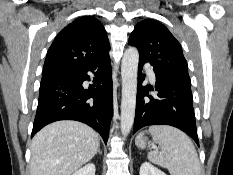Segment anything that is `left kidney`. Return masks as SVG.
Wrapping results in <instances>:
<instances>
[{
	"label": "left kidney",
	"instance_id": "left-kidney-1",
	"mask_svg": "<svg viewBox=\"0 0 233 175\" xmlns=\"http://www.w3.org/2000/svg\"><path fill=\"white\" fill-rule=\"evenodd\" d=\"M140 175H166L149 162H144L140 167Z\"/></svg>",
	"mask_w": 233,
	"mask_h": 175
}]
</instances>
